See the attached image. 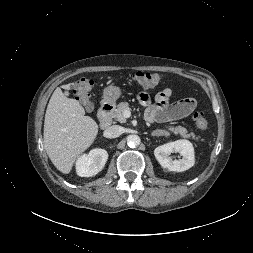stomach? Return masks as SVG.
I'll return each instance as SVG.
<instances>
[{
	"instance_id": "stomach-1",
	"label": "stomach",
	"mask_w": 253,
	"mask_h": 253,
	"mask_svg": "<svg viewBox=\"0 0 253 253\" xmlns=\"http://www.w3.org/2000/svg\"><path fill=\"white\" fill-rule=\"evenodd\" d=\"M121 90L116 86H108L103 91V101L106 103L114 104L116 100L120 97Z\"/></svg>"
}]
</instances>
